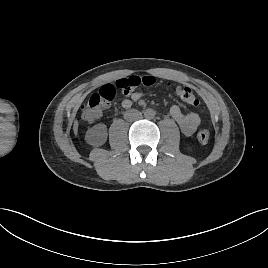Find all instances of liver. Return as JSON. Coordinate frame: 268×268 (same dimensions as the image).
Listing matches in <instances>:
<instances>
[{
	"label": "liver",
	"mask_w": 268,
	"mask_h": 268,
	"mask_svg": "<svg viewBox=\"0 0 268 268\" xmlns=\"http://www.w3.org/2000/svg\"><path fill=\"white\" fill-rule=\"evenodd\" d=\"M78 121H75L74 122V126H73V130H74V133H75V135H77V132H78Z\"/></svg>",
	"instance_id": "liver-1"
}]
</instances>
